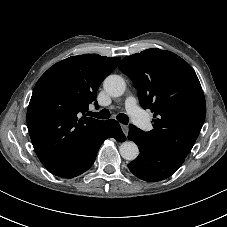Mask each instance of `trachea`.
Masks as SVG:
<instances>
[{"label":"trachea","mask_w":227,"mask_h":227,"mask_svg":"<svg viewBox=\"0 0 227 227\" xmlns=\"http://www.w3.org/2000/svg\"><path fill=\"white\" fill-rule=\"evenodd\" d=\"M90 116L96 117L98 119H108L110 117V112L107 109H103L99 113L91 112ZM116 118L120 123L124 125H127L129 122V118L126 114L120 113L116 116Z\"/></svg>","instance_id":"trachea-1"}]
</instances>
